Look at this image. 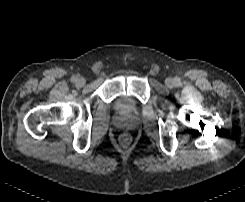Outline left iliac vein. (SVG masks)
I'll use <instances>...</instances> for the list:
<instances>
[{
	"label": "left iliac vein",
	"mask_w": 245,
	"mask_h": 202,
	"mask_svg": "<svg viewBox=\"0 0 245 202\" xmlns=\"http://www.w3.org/2000/svg\"><path fill=\"white\" fill-rule=\"evenodd\" d=\"M165 84L168 86V87H172L174 85V80L172 78H167L165 80Z\"/></svg>",
	"instance_id": "left-iliac-vein-1"
}]
</instances>
